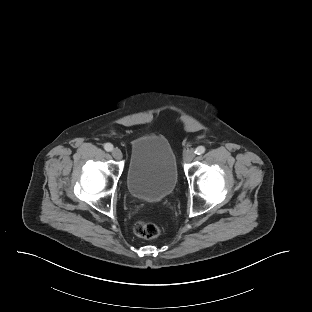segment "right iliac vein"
Segmentation results:
<instances>
[{"label": "right iliac vein", "mask_w": 312, "mask_h": 312, "mask_svg": "<svg viewBox=\"0 0 312 312\" xmlns=\"http://www.w3.org/2000/svg\"><path fill=\"white\" fill-rule=\"evenodd\" d=\"M112 156H113L115 159H117V160L122 159V152H121V150L118 149V148L113 149V150H112Z\"/></svg>", "instance_id": "1"}]
</instances>
